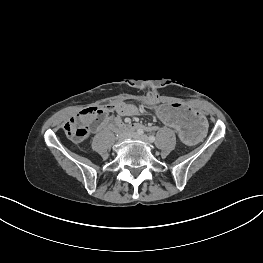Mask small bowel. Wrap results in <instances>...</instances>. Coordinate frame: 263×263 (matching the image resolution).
I'll list each match as a JSON object with an SVG mask.
<instances>
[{"instance_id": "obj_1", "label": "small bowel", "mask_w": 263, "mask_h": 263, "mask_svg": "<svg viewBox=\"0 0 263 263\" xmlns=\"http://www.w3.org/2000/svg\"><path fill=\"white\" fill-rule=\"evenodd\" d=\"M112 111H115L119 116H134L139 114V109L135 105L127 103L113 105ZM93 128L95 129L96 126Z\"/></svg>"}]
</instances>
